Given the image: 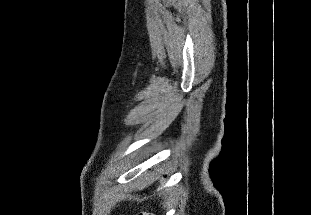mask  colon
Segmentation results:
<instances>
[{"label":"colon","instance_id":"colon-1","mask_svg":"<svg viewBox=\"0 0 311 215\" xmlns=\"http://www.w3.org/2000/svg\"><path fill=\"white\" fill-rule=\"evenodd\" d=\"M139 215H154V214L148 213V212H142V213H140Z\"/></svg>","mask_w":311,"mask_h":215}]
</instances>
